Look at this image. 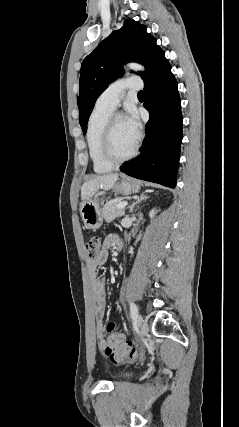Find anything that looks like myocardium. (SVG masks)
Segmentation results:
<instances>
[{
	"mask_svg": "<svg viewBox=\"0 0 239 427\" xmlns=\"http://www.w3.org/2000/svg\"><path fill=\"white\" fill-rule=\"evenodd\" d=\"M119 118H122L120 114L115 113L110 115L105 124L101 140V155L106 162L113 166L122 164L135 157L138 152L140 143L139 138H137L133 149L125 156L118 157L114 154L112 147L113 126L115 121Z\"/></svg>",
	"mask_w": 239,
	"mask_h": 427,
	"instance_id": "obj_1",
	"label": "myocardium"
}]
</instances>
